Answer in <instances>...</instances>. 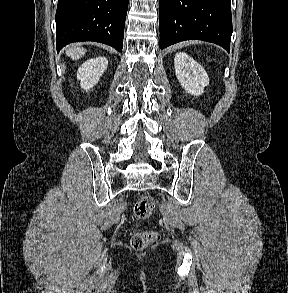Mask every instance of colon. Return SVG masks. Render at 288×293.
<instances>
[{
  "label": "colon",
  "mask_w": 288,
  "mask_h": 293,
  "mask_svg": "<svg viewBox=\"0 0 288 293\" xmlns=\"http://www.w3.org/2000/svg\"><path fill=\"white\" fill-rule=\"evenodd\" d=\"M154 207L153 197L142 196L134 205V214L139 219H146L151 216ZM156 236L157 234L154 231L136 232L131 238V245L136 250H143L156 239Z\"/></svg>",
  "instance_id": "5ec220e1"
}]
</instances>
